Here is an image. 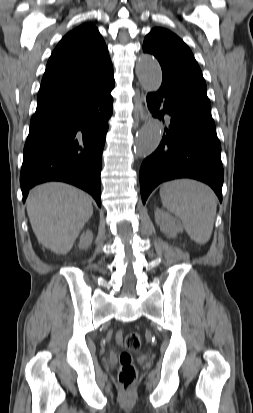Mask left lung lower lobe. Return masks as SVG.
Segmentation results:
<instances>
[{"label": "left lung lower lobe", "mask_w": 253, "mask_h": 413, "mask_svg": "<svg viewBox=\"0 0 253 413\" xmlns=\"http://www.w3.org/2000/svg\"><path fill=\"white\" fill-rule=\"evenodd\" d=\"M147 105L154 117L164 122L167 114L170 121L159 147L140 168L143 203L158 184L177 178L207 183L221 202V145L207 94L164 80L159 91L148 94Z\"/></svg>", "instance_id": "0a47b994"}]
</instances>
